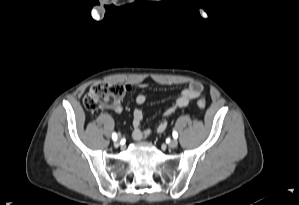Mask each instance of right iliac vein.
<instances>
[{
	"mask_svg": "<svg viewBox=\"0 0 299 205\" xmlns=\"http://www.w3.org/2000/svg\"><path fill=\"white\" fill-rule=\"evenodd\" d=\"M115 143L118 144V143H119V140H116Z\"/></svg>",
	"mask_w": 299,
	"mask_h": 205,
	"instance_id": "1",
	"label": "right iliac vein"
}]
</instances>
